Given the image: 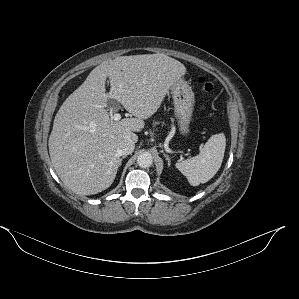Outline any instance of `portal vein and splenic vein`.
<instances>
[{"instance_id": "1", "label": "portal vein and splenic vein", "mask_w": 299, "mask_h": 299, "mask_svg": "<svg viewBox=\"0 0 299 299\" xmlns=\"http://www.w3.org/2000/svg\"><path fill=\"white\" fill-rule=\"evenodd\" d=\"M112 119L114 121H119L121 119V115L119 113H115L113 116H112Z\"/></svg>"}]
</instances>
